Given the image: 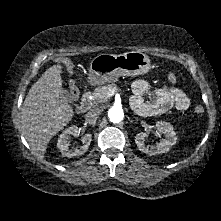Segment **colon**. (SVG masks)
Segmentation results:
<instances>
[{
  "instance_id": "obj_1",
  "label": "colon",
  "mask_w": 221,
  "mask_h": 221,
  "mask_svg": "<svg viewBox=\"0 0 221 221\" xmlns=\"http://www.w3.org/2000/svg\"><path fill=\"white\" fill-rule=\"evenodd\" d=\"M167 79H168L169 82L174 83L177 80V77H176L175 74L170 73V74H168ZM71 93H72V97L73 98H77L78 97V90H77L76 87H72ZM194 112L197 115H202L203 112H204V108L201 105H196L194 107Z\"/></svg>"
}]
</instances>
